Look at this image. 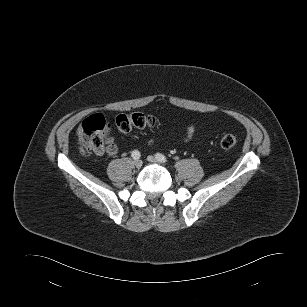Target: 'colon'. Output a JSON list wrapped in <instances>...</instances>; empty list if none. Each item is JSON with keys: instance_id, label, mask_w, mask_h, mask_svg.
I'll return each instance as SVG.
<instances>
[{"instance_id": "colon-1", "label": "colon", "mask_w": 307, "mask_h": 307, "mask_svg": "<svg viewBox=\"0 0 307 307\" xmlns=\"http://www.w3.org/2000/svg\"><path fill=\"white\" fill-rule=\"evenodd\" d=\"M155 124L154 116L140 112L119 114L115 118V126L121 133H128L135 128L153 127ZM106 128V119L101 114H94L84 119L77 129V135L82 147L96 153L106 151L107 145L113 143L112 139H109L106 135ZM236 143L237 138L232 134H226L220 140V145L224 149H230Z\"/></svg>"}]
</instances>
